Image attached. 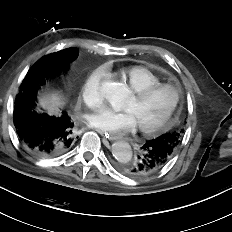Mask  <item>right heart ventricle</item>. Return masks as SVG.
I'll return each mask as SVG.
<instances>
[{"instance_id":"right-heart-ventricle-1","label":"right heart ventricle","mask_w":232,"mask_h":232,"mask_svg":"<svg viewBox=\"0 0 232 232\" xmlns=\"http://www.w3.org/2000/svg\"><path fill=\"white\" fill-rule=\"evenodd\" d=\"M120 76L133 91L160 83L157 75L142 66L126 67L121 70Z\"/></svg>"}]
</instances>
